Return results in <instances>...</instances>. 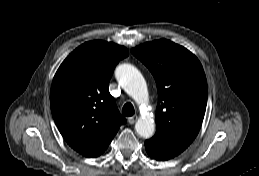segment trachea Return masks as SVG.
<instances>
[{"label":"trachea","mask_w":259,"mask_h":176,"mask_svg":"<svg viewBox=\"0 0 259 176\" xmlns=\"http://www.w3.org/2000/svg\"><path fill=\"white\" fill-rule=\"evenodd\" d=\"M122 114L127 117L134 115L133 105L131 103H126L122 108Z\"/></svg>","instance_id":"1"}]
</instances>
